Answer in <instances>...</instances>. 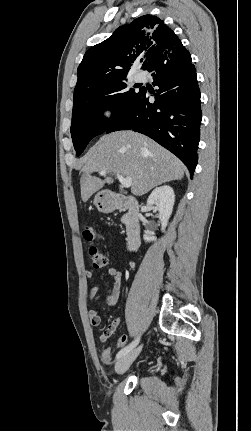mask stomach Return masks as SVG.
Wrapping results in <instances>:
<instances>
[{
    "label": "stomach",
    "mask_w": 251,
    "mask_h": 431,
    "mask_svg": "<svg viewBox=\"0 0 251 431\" xmlns=\"http://www.w3.org/2000/svg\"><path fill=\"white\" fill-rule=\"evenodd\" d=\"M94 204L102 213H109L115 210L116 201L113 196L107 191H101L96 194Z\"/></svg>",
    "instance_id": "1"
}]
</instances>
